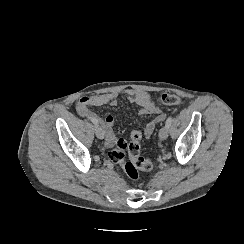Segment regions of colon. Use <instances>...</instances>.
Masks as SVG:
<instances>
[{
    "label": "colon",
    "instance_id": "obj_1",
    "mask_svg": "<svg viewBox=\"0 0 244 244\" xmlns=\"http://www.w3.org/2000/svg\"><path fill=\"white\" fill-rule=\"evenodd\" d=\"M156 98L158 102L167 106H179L183 103V99L180 96L170 92L160 93ZM145 123V121H141L140 125ZM142 136L139 126L131 131L129 142L122 138L117 139L108 154L109 161L115 165H120L128 179L132 181L139 179L140 171H147L152 168V161L141 153ZM126 150L128 160L125 162Z\"/></svg>",
    "mask_w": 244,
    "mask_h": 244
}]
</instances>
